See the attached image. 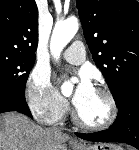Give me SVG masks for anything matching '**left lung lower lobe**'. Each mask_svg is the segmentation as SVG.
Here are the masks:
<instances>
[{"mask_svg":"<svg viewBox=\"0 0 139 150\" xmlns=\"http://www.w3.org/2000/svg\"><path fill=\"white\" fill-rule=\"evenodd\" d=\"M117 118L111 128L96 133H75L88 141L122 142L139 150V80L131 83L118 103Z\"/></svg>","mask_w":139,"mask_h":150,"instance_id":"obj_1","label":"left lung lower lobe"}]
</instances>
